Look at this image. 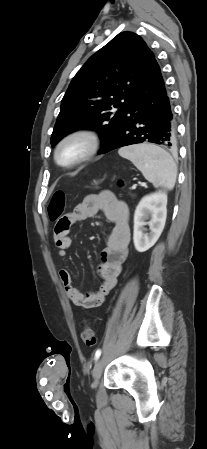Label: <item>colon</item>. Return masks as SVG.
Segmentation results:
<instances>
[{
    "instance_id": "colon-1",
    "label": "colon",
    "mask_w": 207,
    "mask_h": 449,
    "mask_svg": "<svg viewBox=\"0 0 207 449\" xmlns=\"http://www.w3.org/2000/svg\"><path fill=\"white\" fill-rule=\"evenodd\" d=\"M118 184L120 186L124 185L122 180H119ZM66 206V195L63 191H56L53 193L51 201L48 205V217L51 221L56 224L62 219ZM55 232L59 230L57 225L54 228ZM82 339L87 346H93L96 344V336L93 329L86 325L81 333Z\"/></svg>"
}]
</instances>
